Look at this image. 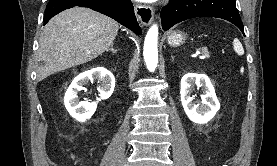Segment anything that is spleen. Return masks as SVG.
Here are the masks:
<instances>
[{"label": "spleen", "mask_w": 277, "mask_h": 166, "mask_svg": "<svg viewBox=\"0 0 277 166\" xmlns=\"http://www.w3.org/2000/svg\"><path fill=\"white\" fill-rule=\"evenodd\" d=\"M233 48H234L235 52L238 55H243L244 54L243 46H242L241 42L237 38H235L233 40Z\"/></svg>", "instance_id": "1"}]
</instances>
